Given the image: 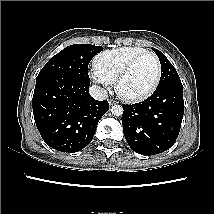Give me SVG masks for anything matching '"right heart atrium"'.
<instances>
[{"mask_svg": "<svg viewBox=\"0 0 214 214\" xmlns=\"http://www.w3.org/2000/svg\"><path fill=\"white\" fill-rule=\"evenodd\" d=\"M92 78L95 82L105 86V87H110L111 86V82L109 80H107L105 77H103L102 75H100L97 71H93L92 73Z\"/></svg>", "mask_w": 214, "mask_h": 214, "instance_id": "obj_1", "label": "right heart atrium"}]
</instances>
